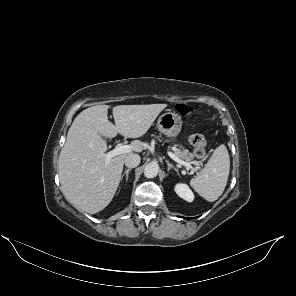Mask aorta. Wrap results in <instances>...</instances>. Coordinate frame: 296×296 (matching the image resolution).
<instances>
[{
    "label": "aorta",
    "instance_id": "obj_1",
    "mask_svg": "<svg viewBox=\"0 0 296 296\" xmlns=\"http://www.w3.org/2000/svg\"><path fill=\"white\" fill-rule=\"evenodd\" d=\"M159 171V166L157 163L155 162H151L149 164L146 165L145 169H144V175L147 178H154L157 176Z\"/></svg>",
    "mask_w": 296,
    "mask_h": 296
}]
</instances>
